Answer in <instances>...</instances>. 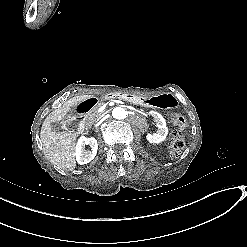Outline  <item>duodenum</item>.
I'll return each mask as SVG.
<instances>
[{
    "label": "duodenum",
    "mask_w": 247,
    "mask_h": 247,
    "mask_svg": "<svg viewBox=\"0 0 247 247\" xmlns=\"http://www.w3.org/2000/svg\"><path fill=\"white\" fill-rule=\"evenodd\" d=\"M106 99H119L127 102H135L136 97L126 93H110L105 96ZM98 99L91 97L83 100L75 107V113L71 118L69 125L78 132L83 133L86 130L85 117L98 105Z\"/></svg>",
    "instance_id": "410a0bca"
}]
</instances>
